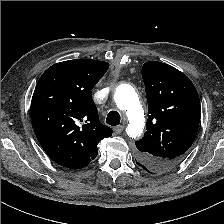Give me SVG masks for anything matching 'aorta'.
I'll list each match as a JSON object with an SVG mask.
<instances>
[{
	"instance_id": "1",
	"label": "aorta",
	"mask_w": 224,
	"mask_h": 224,
	"mask_svg": "<svg viewBox=\"0 0 224 224\" xmlns=\"http://www.w3.org/2000/svg\"><path fill=\"white\" fill-rule=\"evenodd\" d=\"M114 101L128 118L127 135L131 138L139 137L144 129V113L134 88L129 84L117 86Z\"/></svg>"
}]
</instances>
